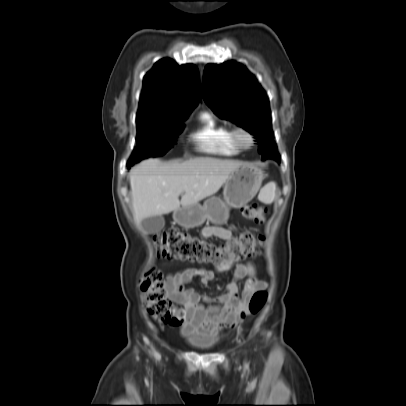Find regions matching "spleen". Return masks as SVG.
I'll return each mask as SVG.
<instances>
[{"label":"spleen","mask_w":406,"mask_h":406,"mask_svg":"<svg viewBox=\"0 0 406 406\" xmlns=\"http://www.w3.org/2000/svg\"><path fill=\"white\" fill-rule=\"evenodd\" d=\"M275 193H276V184L274 182H270L266 184L261 192L260 196L266 203H271L275 199Z\"/></svg>","instance_id":"obj_1"}]
</instances>
